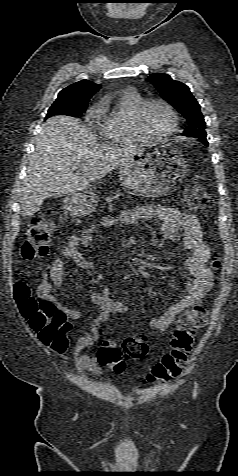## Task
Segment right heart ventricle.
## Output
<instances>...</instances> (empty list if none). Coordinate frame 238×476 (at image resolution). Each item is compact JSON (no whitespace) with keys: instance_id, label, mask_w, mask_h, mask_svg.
<instances>
[{"instance_id":"right-heart-ventricle-1","label":"right heart ventricle","mask_w":238,"mask_h":476,"mask_svg":"<svg viewBox=\"0 0 238 476\" xmlns=\"http://www.w3.org/2000/svg\"><path fill=\"white\" fill-rule=\"evenodd\" d=\"M144 98L135 90L115 93L96 110L97 129L102 138L113 145H135L142 142L133 126V118Z\"/></svg>"}]
</instances>
